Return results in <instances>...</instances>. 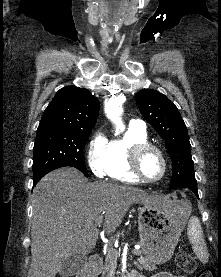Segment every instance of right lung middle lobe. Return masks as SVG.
Masks as SVG:
<instances>
[{
    "label": "right lung middle lobe",
    "mask_w": 221,
    "mask_h": 277,
    "mask_svg": "<svg viewBox=\"0 0 221 277\" xmlns=\"http://www.w3.org/2000/svg\"><path fill=\"white\" fill-rule=\"evenodd\" d=\"M92 129H38L33 149L34 180L63 166L79 169L86 177L83 148Z\"/></svg>",
    "instance_id": "dd1d6c3e"
}]
</instances>
